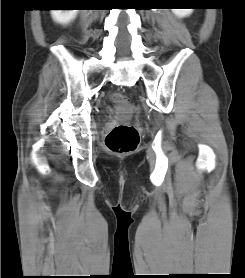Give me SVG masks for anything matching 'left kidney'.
<instances>
[{"mask_svg":"<svg viewBox=\"0 0 245 278\" xmlns=\"http://www.w3.org/2000/svg\"><path fill=\"white\" fill-rule=\"evenodd\" d=\"M172 11L176 16L183 18L189 16L193 12V8L192 9H172Z\"/></svg>","mask_w":245,"mask_h":278,"instance_id":"1","label":"left kidney"}]
</instances>
